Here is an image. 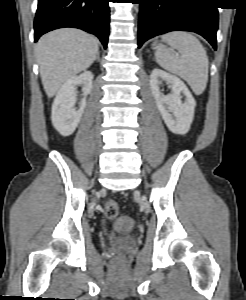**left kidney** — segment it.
<instances>
[{
  "mask_svg": "<svg viewBox=\"0 0 246 300\" xmlns=\"http://www.w3.org/2000/svg\"><path fill=\"white\" fill-rule=\"evenodd\" d=\"M163 82L172 87L168 95L161 93ZM150 86L157 108L168 129L174 134H186L190 130L196 106V101L187 86L180 78L160 69L152 71ZM181 93L185 96V102L181 100Z\"/></svg>",
  "mask_w": 246,
  "mask_h": 300,
  "instance_id": "left-kidney-1",
  "label": "left kidney"
}]
</instances>
